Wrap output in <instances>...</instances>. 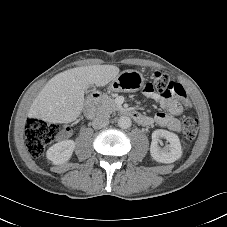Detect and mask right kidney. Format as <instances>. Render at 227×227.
Here are the masks:
<instances>
[{"label": "right kidney", "instance_id": "right-kidney-1", "mask_svg": "<svg viewBox=\"0 0 227 227\" xmlns=\"http://www.w3.org/2000/svg\"><path fill=\"white\" fill-rule=\"evenodd\" d=\"M75 149V142L73 140L60 141L47 150V158L53 164H61L68 161Z\"/></svg>", "mask_w": 227, "mask_h": 227}]
</instances>
